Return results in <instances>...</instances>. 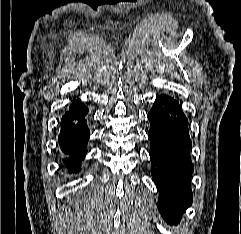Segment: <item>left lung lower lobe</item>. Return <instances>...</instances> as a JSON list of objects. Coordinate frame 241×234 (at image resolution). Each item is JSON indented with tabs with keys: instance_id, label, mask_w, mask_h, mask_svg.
Instances as JSON below:
<instances>
[{
	"instance_id": "obj_1",
	"label": "left lung lower lobe",
	"mask_w": 241,
	"mask_h": 234,
	"mask_svg": "<svg viewBox=\"0 0 241 234\" xmlns=\"http://www.w3.org/2000/svg\"><path fill=\"white\" fill-rule=\"evenodd\" d=\"M148 119L151 175L160 195L158 208L170 225H177L193 198L188 121L177 101L165 95L156 98Z\"/></svg>"
}]
</instances>
